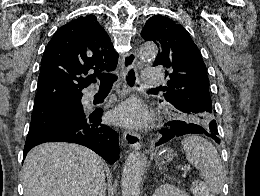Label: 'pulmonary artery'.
Masks as SVG:
<instances>
[{
    "label": "pulmonary artery",
    "mask_w": 260,
    "mask_h": 196,
    "mask_svg": "<svg viewBox=\"0 0 260 196\" xmlns=\"http://www.w3.org/2000/svg\"><path fill=\"white\" fill-rule=\"evenodd\" d=\"M142 84H158L161 73L159 69H142ZM94 92L90 91L87 93V101L90 102L94 97Z\"/></svg>",
    "instance_id": "pulmonary-artery-1"
}]
</instances>
